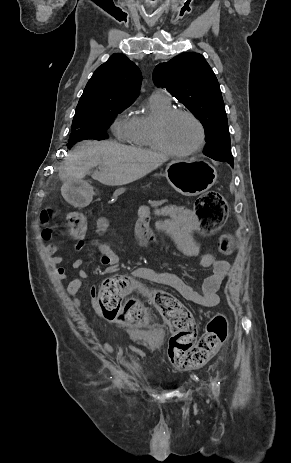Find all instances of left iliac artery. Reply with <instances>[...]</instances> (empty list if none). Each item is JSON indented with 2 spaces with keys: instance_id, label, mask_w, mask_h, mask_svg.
Here are the masks:
<instances>
[{
  "instance_id": "44dca946",
  "label": "left iliac artery",
  "mask_w": 291,
  "mask_h": 463,
  "mask_svg": "<svg viewBox=\"0 0 291 463\" xmlns=\"http://www.w3.org/2000/svg\"><path fill=\"white\" fill-rule=\"evenodd\" d=\"M220 382L214 381L212 384V389H213V394L215 397H218L219 392H220Z\"/></svg>"
}]
</instances>
